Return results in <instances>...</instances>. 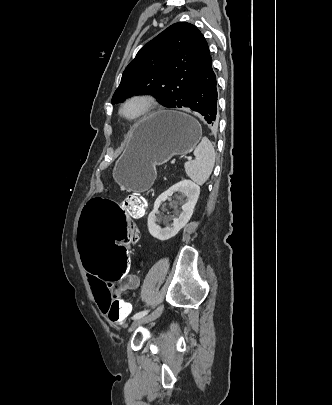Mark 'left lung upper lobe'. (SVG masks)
<instances>
[{
	"mask_svg": "<svg viewBox=\"0 0 332 405\" xmlns=\"http://www.w3.org/2000/svg\"><path fill=\"white\" fill-rule=\"evenodd\" d=\"M209 59L208 44L198 28L186 22L175 23L139 50L126 67L112 104L150 93L165 107H184Z\"/></svg>",
	"mask_w": 332,
	"mask_h": 405,
	"instance_id": "obj_1",
	"label": "left lung upper lobe"
}]
</instances>
